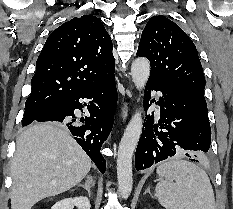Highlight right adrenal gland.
<instances>
[{"instance_id": "right-adrenal-gland-1", "label": "right adrenal gland", "mask_w": 233, "mask_h": 209, "mask_svg": "<svg viewBox=\"0 0 233 209\" xmlns=\"http://www.w3.org/2000/svg\"><path fill=\"white\" fill-rule=\"evenodd\" d=\"M94 186V181L91 176L86 177L85 184H79L78 187L84 188L87 192L89 197H91V187Z\"/></svg>"}]
</instances>
